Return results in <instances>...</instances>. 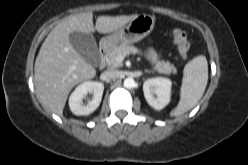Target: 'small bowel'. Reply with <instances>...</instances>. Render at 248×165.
<instances>
[{
	"mask_svg": "<svg viewBox=\"0 0 248 165\" xmlns=\"http://www.w3.org/2000/svg\"><path fill=\"white\" fill-rule=\"evenodd\" d=\"M147 55H148V57L150 58V60L153 61V62L156 61V59H157V57H158L156 51L153 50V49H151V48H149V49L147 50Z\"/></svg>",
	"mask_w": 248,
	"mask_h": 165,
	"instance_id": "1",
	"label": "small bowel"
}]
</instances>
